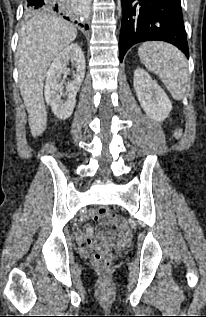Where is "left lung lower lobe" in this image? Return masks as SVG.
Returning <instances> with one entry per match:
<instances>
[{
  "mask_svg": "<svg viewBox=\"0 0 206 317\" xmlns=\"http://www.w3.org/2000/svg\"><path fill=\"white\" fill-rule=\"evenodd\" d=\"M161 40L189 58L180 0H122L120 61L136 43Z\"/></svg>",
  "mask_w": 206,
  "mask_h": 317,
  "instance_id": "0a47b994",
  "label": "left lung lower lobe"
}]
</instances>
